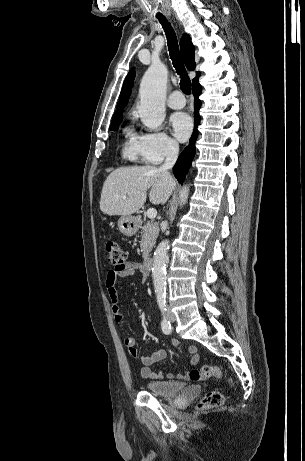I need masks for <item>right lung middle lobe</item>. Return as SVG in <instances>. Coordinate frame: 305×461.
Listing matches in <instances>:
<instances>
[{"label": "right lung middle lobe", "mask_w": 305, "mask_h": 461, "mask_svg": "<svg viewBox=\"0 0 305 461\" xmlns=\"http://www.w3.org/2000/svg\"><path fill=\"white\" fill-rule=\"evenodd\" d=\"M120 123L121 121L113 122L110 126V130H113V131L116 130Z\"/></svg>", "instance_id": "1"}]
</instances>
